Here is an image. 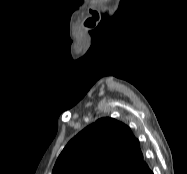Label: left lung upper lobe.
I'll use <instances>...</instances> for the list:
<instances>
[{"instance_id": "5c2ea615", "label": "left lung upper lobe", "mask_w": 187, "mask_h": 174, "mask_svg": "<svg viewBox=\"0 0 187 174\" xmlns=\"http://www.w3.org/2000/svg\"><path fill=\"white\" fill-rule=\"evenodd\" d=\"M148 167L130 128L101 118L69 141L52 174H134Z\"/></svg>"}]
</instances>
